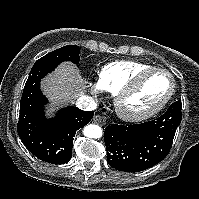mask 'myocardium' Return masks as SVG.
<instances>
[{
	"label": "myocardium",
	"mask_w": 199,
	"mask_h": 199,
	"mask_svg": "<svg viewBox=\"0 0 199 199\" xmlns=\"http://www.w3.org/2000/svg\"><path fill=\"white\" fill-rule=\"evenodd\" d=\"M154 73H163L167 75L171 81V87L167 95L154 107L144 111H131L126 108V99L133 94L141 82L149 75ZM176 90V81L173 74L167 69L160 67H150L139 71L132 76L115 94L114 105L118 116L128 122H141L147 120L159 113L171 100Z\"/></svg>",
	"instance_id": "myocardium-1"
}]
</instances>
